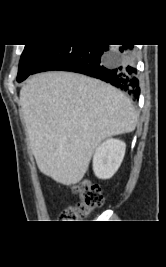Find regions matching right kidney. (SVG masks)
<instances>
[{"label": "right kidney", "instance_id": "obj_1", "mask_svg": "<svg viewBox=\"0 0 166 267\" xmlns=\"http://www.w3.org/2000/svg\"><path fill=\"white\" fill-rule=\"evenodd\" d=\"M126 144L118 139H108L95 151L93 170L98 178H111L120 167L125 155Z\"/></svg>", "mask_w": 166, "mask_h": 267}]
</instances>
